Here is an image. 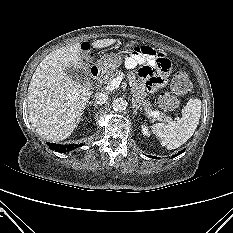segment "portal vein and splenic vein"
<instances>
[{
	"instance_id": "18ae733b",
	"label": "portal vein and splenic vein",
	"mask_w": 233,
	"mask_h": 233,
	"mask_svg": "<svg viewBox=\"0 0 233 233\" xmlns=\"http://www.w3.org/2000/svg\"><path fill=\"white\" fill-rule=\"evenodd\" d=\"M122 81V76L114 78L107 86H104L102 89L107 91H113L117 89ZM149 116L157 117L161 115L159 111H152L148 113Z\"/></svg>"
}]
</instances>
